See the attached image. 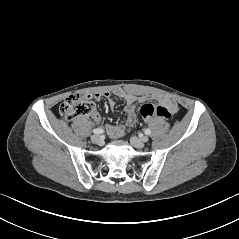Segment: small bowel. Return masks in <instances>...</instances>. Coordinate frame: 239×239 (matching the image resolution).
<instances>
[{
  "label": "small bowel",
  "mask_w": 239,
  "mask_h": 239,
  "mask_svg": "<svg viewBox=\"0 0 239 239\" xmlns=\"http://www.w3.org/2000/svg\"><path fill=\"white\" fill-rule=\"evenodd\" d=\"M116 95L124 100L125 102V112H126V124L125 125H109L107 126V133L111 138H120L124 136L127 128L133 127L137 122L136 117V106L138 103L144 102L146 98L144 96H135L131 93L119 90L116 92ZM89 97H93L96 100H101L102 98H106L108 100V106L111 109L115 108V102L111 97V93L109 92H98L93 96L89 95ZM158 100L166 107L170 114H174L178 111L177 103L168 96H160ZM93 120L95 123L101 122V116L98 113L93 115Z\"/></svg>",
  "instance_id": "obj_1"
}]
</instances>
